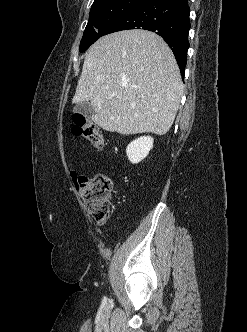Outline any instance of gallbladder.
Instances as JSON below:
<instances>
[{
    "label": "gallbladder",
    "instance_id": "1",
    "mask_svg": "<svg viewBox=\"0 0 247 332\" xmlns=\"http://www.w3.org/2000/svg\"><path fill=\"white\" fill-rule=\"evenodd\" d=\"M73 112L82 114L86 118H91L93 109L89 103H80L74 107Z\"/></svg>",
    "mask_w": 247,
    "mask_h": 332
}]
</instances>
